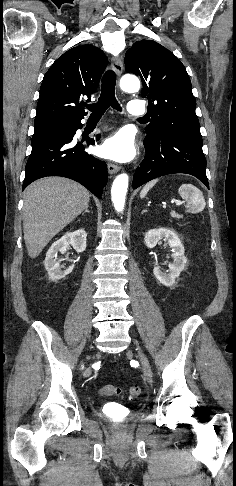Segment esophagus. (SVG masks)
<instances>
[{
	"label": "esophagus",
	"instance_id": "34e87169",
	"mask_svg": "<svg viewBox=\"0 0 236 486\" xmlns=\"http://www.w3.org/2000/svg\"><path fill=\"white\" fill-rule=\"evenodd\" d=\"M112 68L118 76H121L122 71H123V62H122L121 57H117V58L113 59ZM107 168H108V172L110 174H115V173L120 171V167L116 164L111 163V162L107 163Z\"/></svg>",
	"mask_w": 236,
	"mask_h": 486
}]
</instances>
